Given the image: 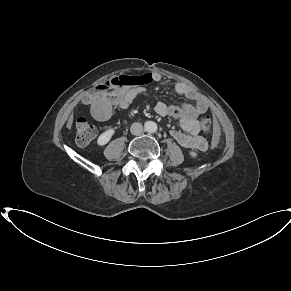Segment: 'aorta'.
Wrapping results in <instances>:
<instances>
[{
    "mask_svg": "<svg viewBox=\"0 0 291 291\" xmlns=\"http://www.w3.org/2000/svg\"><path fill=\"white\" fill-rule=\"evenodd\" d=\"M146 131L150 133H154L157 131V124L153 121H148L145 125Z\"/></svg>",
    "mask_w": 291,
    "mask_h": 291,
    "instance_id": "762f6f07",
    "label": "aorta"
}]
</instances>
